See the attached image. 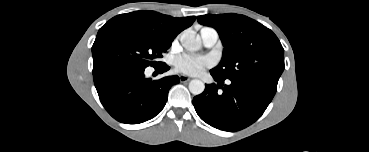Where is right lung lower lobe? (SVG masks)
<instances>
[{"label": "right lung lower lobe", "instance_id": "right-lung-lower-lobe-1", "mask_svg": "<svg viewBox=\"0 0 369 152\" xmlns=\"http://www.w3.org/2000/svg\"><path fill=\"white\" fill-rule=\"evenodd\" d=\"M160 73L169 69L165 63L155 67ZM145 68L117 65L93 74L101 103L116 120L138 124L152 119L164 108L169 89L180 82L178 76L151 80Z\"/></svg>", "mask_w": 369, "mask_h": 152}]
</instances>
